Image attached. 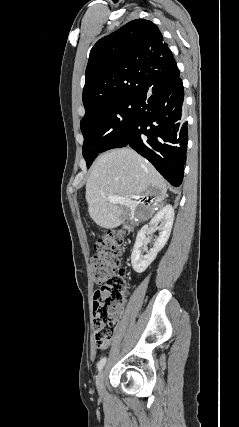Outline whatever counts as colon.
<instances>
[{
  "label": "colon",
  "instance_id": "5ec220e1",
  "mask_svg": "<svg viewBox=\"0 0 239 427\" xmlns=\"http://www.w3.org/2000/svg\"><path fill=\"white\" fill-rule=\"evenodd\" d=\"M124 241L123 231H108L98 240L91 259L94 281L100 285L93 302L95 343L100 349H106L114 337L129 289L121 264Z\"/></svg>",
  "mask_w": 239,
  "mask_h": 427
}]
</instances>
